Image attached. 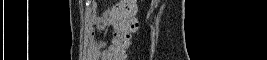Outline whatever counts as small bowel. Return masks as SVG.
<instances>
[{"label":"small bowel","instance_id":"obj_1","mask_svg":"<svg viewBox=\"0 0 267 60\" xmlns=\"http://www.w3.org/2000/svg\"><path fill=\"white\" fill-rule=\"evenodd\" d=\"M109 23H110V20L108 18H102L100 21H98L96 23L92 35H94L98 31L104 29V27ZM104 43H105L104 40H99L98 42L92 43L93 50L96 54H98L101 51Z\"/></svg>","mask_w":267,"mask_h":60}]
</instances>
